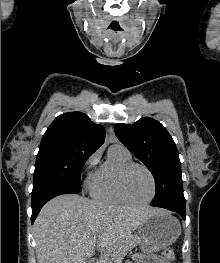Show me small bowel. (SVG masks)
Returning <instances> with one entry per match:
<instances>
[{
  "label": "small bowel",
  "instance_id": "1",
  "mask_svg": "<svg viewBox=\"0 0 220 263\" xmlns=\"http://www.w3.org/2000/svg\"><path fill=\"white\" fill-rule=\"evenodd\" d=\"M142 263H166L160 256L158 255H149L145 258Z\"/></svg>",
  "mask_w": 220,
  "mask_h": 263
}]
</instances>
